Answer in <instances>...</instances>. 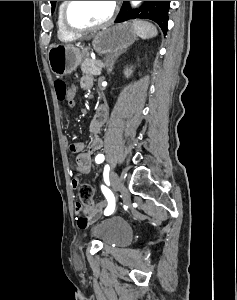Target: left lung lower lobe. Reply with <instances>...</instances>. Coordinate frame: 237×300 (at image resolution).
<instances>
[{
    "instance_id": "left-lung-lower-lobe-1",
    "label": "left lung lower lobe",
    "mask_w": 237,
    "mask_h": 300,
    "mask_svg": "<svg viewBox=\"0 0 237 300\" xmlns=\"http://www.w3.org/2000/svg\"><path fill=\"white\" fill-rule=\"evenodd\" d=\"M169 2H170V1H165V5H166V6H169Z\"/></svg>"
}]
</instances>
